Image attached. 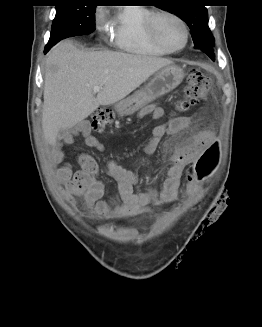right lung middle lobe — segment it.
Here are the masks:
<instances>
[{
  "instance_id": "1",
  "label": "right lung middle lobe",
  "mask_w": 262,
  "mask_h": 327,
  "mask_svg": "<svg viewBox=\"0 0 262 327\" xmlns=\"http://www.w3.org/2000/svg\"><path fill=\"white\" fill-rule=\"evenodd\" d=\"M79 1L60 2L56 6L47 52L55 43L66 37L87 35L95 30L94 5H79Z\"/></svg>"
}]
</instances>
